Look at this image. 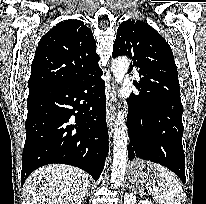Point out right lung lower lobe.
<instances>
[{
  "label": "right lung lower lobe",
  "mask_w": 206,
  "mask_h": 204,
  "mask_svg": "<svg viewBox=\"0 0 206 204\" xmlns=\"http://www.w3.org/2000/svg\"><path fill=\"white\" fill-rule=\"evenodd\" d=\"M98 67L78 81L29 92L21 184L51 163L76 166L97 180L108 148L105 83Z\"/></svg>",
  "instance_id": "98d812e1"
}]
</instances>
